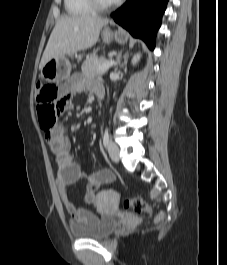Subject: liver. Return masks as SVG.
<instances>
[{
	"instance_id": "1",
	"label": "liver",
	"mask_w": 227,
	"mask_h": 265,
	"mask_svg": "<svg viewBox=\"0 0 227 265\" xmlns=\"http://www.w3.org/2000/svg\"><path fill=\"white\" fill-rule=\"evenodd\" d=\"M108 22V19L89 14L61 16L50 35L39 68L42 69L50 59L91 48Z\"/></svg>"
}]
</instances>
